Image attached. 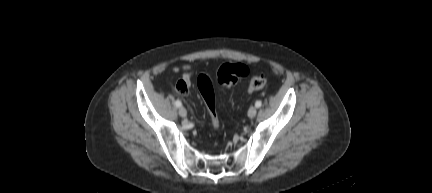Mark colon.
I'll use <instances>...</instances> for the list:
<instances>
[{
	"label": "colon",
	"instance_id": "obj_1",
	"mask_svg": "<svg viewBox=\"0 0 432 193\" xmlns=\"http://www.w3.org/2000/svg\"><path fill=\"white\" fill-rule=\"evenodd\" d=\"M249 69L241 63L224 64L217 71V81L223 86H230L237 83L241 78L247 76ZM267 80L264 76H254L248 86L249 92L261 90L265 87ZM198 88L204 98L208 109L211 124L214 129H218L220 118L216 106L215 94L212 82L207 74H202L198 78Z\"/></svg>",
	"mask_w": 432,
	"mask_h": 193
}]
</instances>
